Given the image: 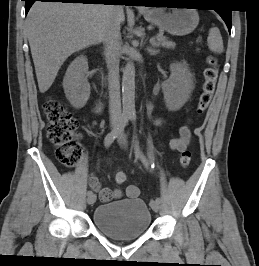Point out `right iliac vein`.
<instances>
[{
    "label": "right iliac vein",
    "mask_w": 259,
    "mask_h": 266,
    "mask_svg": "<svg viewBox=\"0 0 259 266\" xmlns=\"http://www.w3.org/2000/svg\"><path fill=\"white\" fill-rule=\"evenodd\" d=\"M117 125H118V123L115 121V122L112 123L111 126H112V128L115 129V128L117 127ZM95 201H96V195H95V194H92V195H90V196L87 197V203H88L89 205L94 204Z\"/></svg>",
    "instance_id": "obj_1"
}]
</instances>
